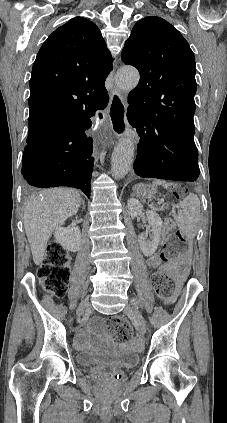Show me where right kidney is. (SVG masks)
I'll return each mask as SVG.
<instances>
[{"label":"right kidney","instance_id":"1","mask_svg":"<svg viewBox=\"0 0 227 423\" xmlns=\"http://www.w3.org/2000/svg\"><path fill=\"white\" fill-rule=\"evenodd\" d=\"M64 221L55 229V239L64 249L78 251L81 241V231L79 227H61Z\"/></svg>","mask_w":227,"mask_h":423}]
</instances>
